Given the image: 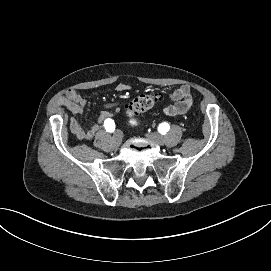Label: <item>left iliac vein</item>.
<instances>
[{"mask_svg": "<svg viewBox=\"0 0 271 271\" xmlns=\"http://www.w3.org/2000/svg\"><path fill=\"white\" fill-rule=\"evenodd\" d=\"M146 138L152 143H156L160 145L164 144V137L158 133H147Z\"/></svg>", "mask_w": 271, "mask_h": 271, "instance_id": "left-iliac-vein-1", "label": "left iliac vein"}]
</instances>
